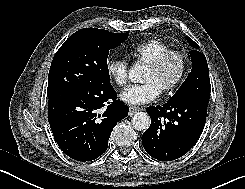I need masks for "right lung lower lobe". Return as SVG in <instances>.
Here are the masks:
<instances>
[{
	"mask_svg": "<svg viewBox=\"0 0 245 189\" xmlns=\"http://www.w3.org/2000/svg\"><path fill=\"white\" fill-rule=\"evenodd\" d=\"M128 111L110 82L48 100V121L57 144L66 155L83 162L106 151L114 126Z\"/></svg>",
	"mask_w": 245,
	"mask_h": 189,
	"instance_id": "obj_1",
	"label": "right lung lower lobe"
}]
</instances>
